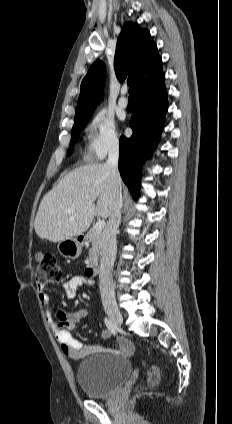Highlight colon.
Wrapping results in <instances>:
<instances>
[{
	"label": "colon",
	"mask_w": 232,
	"mask_h": 424,
	"mask_svg": "<svg viewBox=\"0 0 232 424\" xmlns=\"http://www.w3.org/2000/svg\"><path fill=\"white\" fill-rule=\"evenodd\" d=\"M63 270L58 266L56 256L51 253H41L37 255L36 280L40 284H53L62 281ZM160 371L158 367L151 366L148 371L146 385H138L137 392L145 388H154L159 384Z\"/></svg>",
	"instance_id": "colon-1"
}]
</instances>
